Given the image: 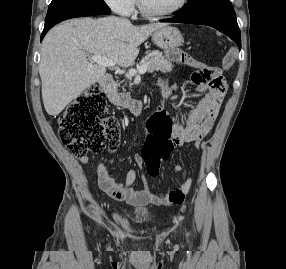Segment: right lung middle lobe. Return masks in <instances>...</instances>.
Instances as JSON below:
<instances>
[{"label": "right lung middle lobe", "instance_id": "obj_1", "mask_svg": "<svg viewBox=\"0 0 286 269\" xmlns=\"http://www.w3.org/2000/svg\"><path fill=\"white\" fill-rule=\"evenodd\" d=\"M111 13L103 0H52L45 19V26L66 19Z\"/></svg>", "mask_w": 286, "mask_h": 269}]
</instances>
